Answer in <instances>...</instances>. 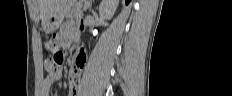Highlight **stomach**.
<instances>
[{"instance_id":"1","label":"stomach","mask_w":232,"mask_h":96,"mask_svg":"<svg viewBox=\"0 0 232 96\" xmlns=\"http://www.w3.org/2000/svg\"><path fill=\"white\" fill-rule=\"evenodd\" d=\"M75 2V0H56L42 22L43 30L48 34L57 30L64 19L65 13L74 6Z\"/></svg>"}]
</instances>
